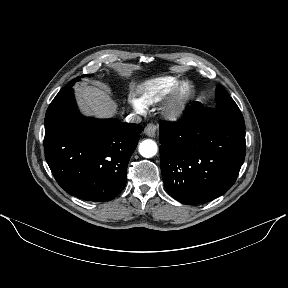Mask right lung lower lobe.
<instances>
[{
    "mask_svg": "<svg viewBox=\"0 0 288 288\" xmlns=\"http://www.w3.org/2000/svg\"><path fill=\"white\" fill-rule=\"evenodd\" d=\"M142 130L139 124L83 117L71 86L47 109L45 158L67 193L87 201H109L126 185L127 165Z\"/></svg>",
    "mask_w": 288,
    "mask_h": 288,
    "instance_id": "obj_1",
    "label": "right lung lower lobe"
}]
</instances>
